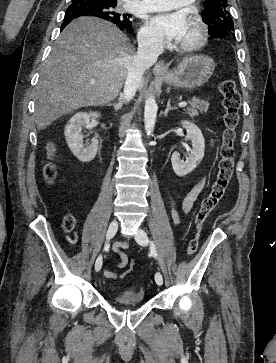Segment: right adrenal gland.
I'll return each instance as SVG.
<instances>
[{
	"instance_id": "1",
	"label": "right adrenal gland",
	"mask_w": 276,
	"mask_h": 363,
	"mask_svg": "<svg viewBox=\"0 0 276 363\" xmlns=\"http://www.w3.org/2000/svg\"><path fill=\"white\" fill-rule=\"evenodd\" d=\"M120 95H122L121 93H120ZM107 106H113V108H114V110L115 111H118V110H120L121 108H122V106H123V100H122V98L120 97L119 98V102L116 104V103H111V104H107Z\"/></svg>"
}]
</instances>
